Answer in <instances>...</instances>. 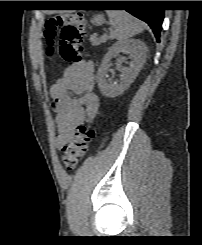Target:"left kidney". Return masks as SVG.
Returning <instances> with one entry per match:
<instances>
[{"mask_svg": "<svg viewBox=\"0 0 202 245\" xmlns=\"http://www.w3.org/2000/svg\"><path fill=\"white\" fill-rule=\"evenodd\" d=\"M120 52L129 53L131 59L129 68L121 65L118 59L117 68L121 71L120 80L112 82L107 80V71L111 58L119 56ZM147 46L138 39L119 41L113 44L104 56L102 64L98 69L97 82L101 93L108 98H114L122 94L134 81L140 72L146 58Z\"/></svg>", "mask_w": 202, "mask_h": 245, "instance_id": "5707ae66", "label": "left kidney"}]
</instances>
